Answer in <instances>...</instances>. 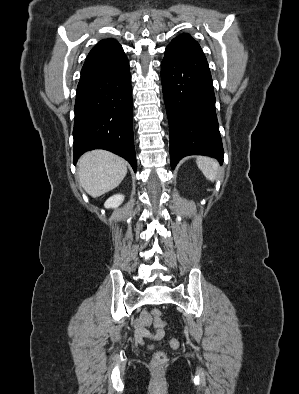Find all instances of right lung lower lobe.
Listing matches in <instances>:
<instances>
[{
	"label": "right lung lower lobe",
	"instance_id": "1",
	"mask_svg": "<svg viewBox=\"0 0 299 394\" xmlns=\"http://www.w3.org/2000/svg\"><path fill=\"white\" fill-rule=\"evenodd\" d=\"M74 109V164L84 152L98 148L125 158L136 171L126 56L83 65Z\"/></svg>",
	"mask_w": 299,
	"mask_h": 394
}]
</instances>
